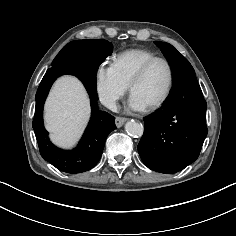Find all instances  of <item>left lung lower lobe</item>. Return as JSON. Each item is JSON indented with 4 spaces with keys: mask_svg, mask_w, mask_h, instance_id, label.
<instances>
[{
    "mask_svg": "<svg viewBox=\"0 0 236 236\" xmlns=\"http://www.w3.org/2000/svg\"><path fill=\"white\" fill-rule=\"evenodd\" d=\"M206 108L195 75L175 82L162 107L144 118L138 144L143 163L157 172L175 173L194 162L208 133Z\"/></svg>",
    "mask_w": 236,
    "mask_h": 236,
    "instance_id": "0a47b994",
    "label": "left lung lower lobe"
}]
</instances>
